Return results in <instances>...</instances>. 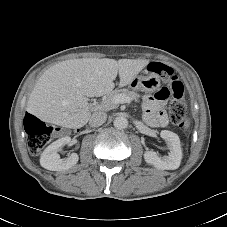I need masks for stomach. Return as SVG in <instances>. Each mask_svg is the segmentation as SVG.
<instances>
[{
  "label": "stomach",
  "instance_id": "0dacf381",
  "mask_svg": "<svg viewBox=\"0 0 227 227\" xmlns=\"http://www.w3.org/2000/svg\"><path fill=\"white\" fill-rule=\"evenodd\" d=\"M129 85L133 90L152 93L161 83L156 73H148L147 76H136Z\"/></svg>",
  "mask_w": 227,
  "mask_h": 227
}]
</instances>
